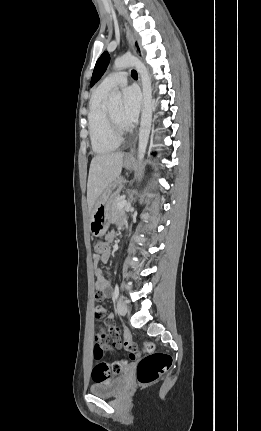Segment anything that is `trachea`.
Here are the masks:
<instances>
[{
    "label": "trachea",
    "mask_w": 261,
    "mask_h": 431,
    "mask_svg": "<svg viewBox=\"0 0 261 431\" xmlns=\"http://www.w3.org/2000/svg\"><path fill=\"white\" fill-rule=\"evenodd\" d=\"M131 76H132L133 78H138V74H137V72H136L135 70H132V71H131Z\"/></svg>",
    "instance_id": "obj_1"
}]
</instances>
